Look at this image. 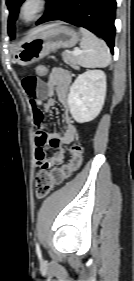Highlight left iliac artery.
Instances as JSON below:
<instances>
[{
	"instance_id": "left-iliac-artery-1",
	"label": "left iliac artery",
	"mask_w": 134,
	"mask_h": 281,
	"mask_svg": "<svg viewBox=\"0 0 134 281\" xmlns=\"http://www.w3.org/2000/svg\"><path fill=\"white\" fill-rule=\"evenodd\" d=\"M36 250H37L38 255L40 256L41 255V251H40L38 243H36Z\"/></svg>"
}]
</instances>
